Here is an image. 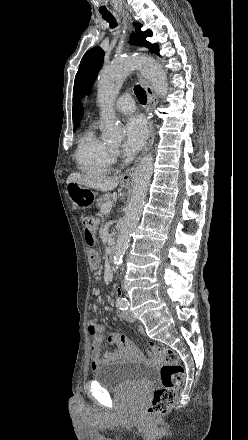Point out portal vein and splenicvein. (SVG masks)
Masks as SVG:
<instances>
[{
	"mask_svg": "<svg viewBox=\"0 0 248 440\" xmlns=\"http://www.w3.org/2000/svg\"><path fill=\"white\" fill-rule=\"evenodd\" d=\"M112 203L103 207L104 213H108L111 210Z\"/></svg>",
	"mask_w": 248,
	"mask_h": 440,
	"instance_id": "portal-vein-and-splenic-vein-1",
	"label": "portal vein and splenic vein"
}]
</instances>
